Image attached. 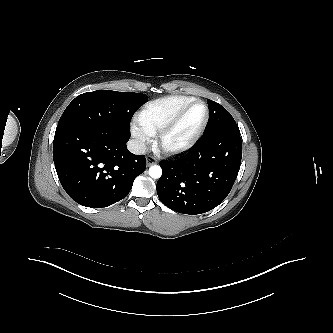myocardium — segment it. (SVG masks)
<instances>
[{"label": "myocardium", "mask_w": 333, "mask_h": 333, "mask_svg": "<svg viewBox=\"0 0 333 333\" xmlns=\"http://www.w3.org/2000/svg\"><path fill=\"white\" fill-rule=\"evenodd\" d=\"M201 104L205 108V116L203 121L200 123V125L195 129V131L183 142L179 144H169L168 138L172 134V132L178 127V125L181 123L185 115L188 113V111L194 107L195 105ZM210 118V110L208 105L202 101L194 99L190 103L186 104L184 107H182L175 115L174 117L163 127L161 128L158 133L156 134L155 139V147L157 150L167 156H173L178 155L181 153H184L191 149L197 141L200 139L202 134L204 133L207 124L209 122Z\"/></svg>", "instance_id": "1"}]
</instances>
